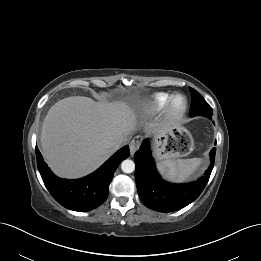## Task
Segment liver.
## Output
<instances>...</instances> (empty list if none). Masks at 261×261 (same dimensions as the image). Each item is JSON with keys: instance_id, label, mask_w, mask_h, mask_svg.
I'll return each instance as SVG.
<instances>
[{"instance_id": "1", "label": "liver", "mask_w": 261, "mask_h": 261, "mask_svg": "<svg viewBox=\"0 0 261 261\" xmlns=\"http://www.w3.org/2000/svg\"><path fill=\"white\" fill-rule=\"evenodd\" d=\"M136 129L137 116L127 102L64 98L44 118L43 155L56 175L79 178L100 167L118 149L119 140Z\"/></svg>"}]
</instances>
